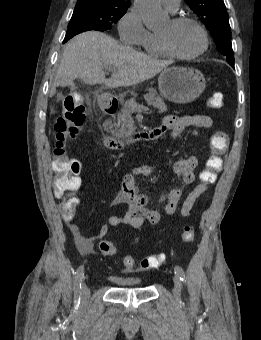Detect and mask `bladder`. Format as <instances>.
Masks as SVG:
<instances>
[{"mask_svg":"<svg viewBox=\"0 0 261 340\" xmlns=\"http://www.w3.org/2000/svg\"><path fill=\"white\" fill-rule=\"evenodd\" d=\"M109 279L114 282L118 287L133 288L141 287L142 280L139 277H121L116 275L109 276Z\"/></svg>","mask_w":261,"mask_h":340,"instance_id":"31cf9c89","label":"bladder"}]
</instances>
